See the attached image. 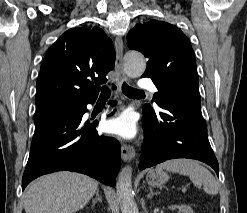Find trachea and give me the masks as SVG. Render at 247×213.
<instances>
[{
    "label": "trachea",
    "mask_w": 247,
    "mask_h": 213,
    "mask_svg": "<svg viewBox=\"0 0 247 213\" xmlns=\"http://www.w3.org/2000/svg\"><path fill=\"white\" fill-rule=\"evenodd\" d=\"M122 92L127 96L136 95L138 93H142L143 91L134 89L130 86H128L125 82L122 84ZM111 91L107 87L102 88V93L99 97V99H108L110 97Z\"/></svg>",
    "instance_id": "obj_1"
}]
</instances>
